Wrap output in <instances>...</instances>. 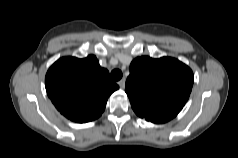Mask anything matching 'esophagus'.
Instances as JSON below:
<instances>
[{
  "label": "esophagus",
  "mask_w": 238,
  "mask_h": 158,
  "mask_svg": "<svg viewBox=\"0 0 238 158\" xmlns=\"http://www.w3.org/2000/svg\"><path fill=\"white\" fill-rule=\"evenodd\" d=\"M117 84L119 85V87H120L121 89H123V88L125 87V79L123 78V79L119 80V81L117 82Z\"/></svg>",
  "instance_id": "34e87169"
}]
</instances>
